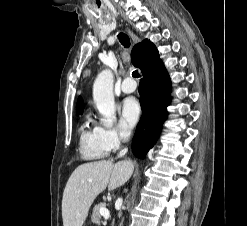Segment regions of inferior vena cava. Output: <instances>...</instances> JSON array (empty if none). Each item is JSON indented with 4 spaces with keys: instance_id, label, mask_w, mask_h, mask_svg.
I'll list each match as a JSON object with an SVG mask.
<instances>
[{
    "instance_id": "602c4592",
    "label": "inferior vena cava",
    "mask_w": 247,
    "mask_h": 226,
    "mask_svg": "<svg viewBox=\"0 0 247 226\" xmlns=\"http://www.w3.org/2000/svg\"><path fill=\"white\" fill-rule=\"evenodd\" d=\"M129 135H130V132L123 131V132L120 133V137L123 138V139H127L129 137ZM126 153H127V148L121 150L120 153L118 154V157H122Z\"/></svg>"
}]
</instances>
